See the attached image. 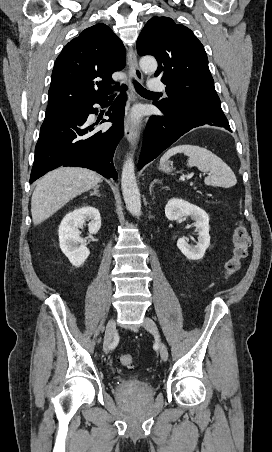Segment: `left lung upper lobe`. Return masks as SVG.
<instances>
[{
    "label": "left lung upper lobe",
    "instance_id": "left-lung-upper-lobe-1",
    "mask_svg": "<svg viewBox=\"0 0 272 452\" xmlns=\"http://www.w3.org/2000/svg\"><path fill=\"white\" fill-rule=\"evenodd\" d=\"M137 52L158 61L155 76L167 85L168 95L158 102L162 106L171 108L196 100L221 105L204 47L189 28L168 17H153L137 39Z\"/></svg>",
    "mask_w": 272,
    "mask_h": 452
}]
</instances>
